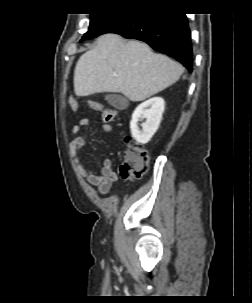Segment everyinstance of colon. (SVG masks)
I'll return each mask as SVG.
<instances>
[{
	"instance_id": "obj_1",
	"label": "colon",
	"mask_w": 252,
	"mask_h": 303,
	"mask_svg": "<svg viewBox=\"0 0 252 303\" xmlns=\"http://www.w3.org/2000/svg\"><path fill=\"white\" fill-rule=\"evenodd\" d=\"M69 106L73 111L78 110V103L75 97H70ZM90 108L101 114L102 121L109 123L114 120L116 111L112 108L103 107L99 102L92 101ZM148 153L138 143L128 140L127 149L124 152V160L120 166V174L123 178L137 179L141 177L148 168Z\"/></svg>"
}]
</instances>
